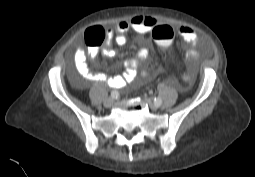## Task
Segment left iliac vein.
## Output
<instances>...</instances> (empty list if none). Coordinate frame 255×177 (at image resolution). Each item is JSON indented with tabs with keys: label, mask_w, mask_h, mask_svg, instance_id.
Here are the masks:
<instances>
[{
	"label": "left iliac vein",
	"mask_w": 255,
	"mask_h": 177,
	"mask_svg": "<svg viewBox=\"0 0 255 177\" xmlns=\"http://www.w3.org/2000/svg\"><path fill=\"white\" fill-rule=\"evenodd\" d=\"M149 107L152 109V110H157L158 109V106L151 100V99H146Z\"/></svg>",
	"instance_id": "4c4485c4"
}]
</instances>
